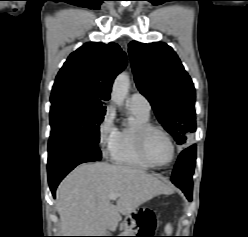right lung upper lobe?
I'll list each match as a JSON object with an SVG mask.
<instances>
[{"mask_svg": "<svg viewBox=\"0 0 248 237\" xmlns=\"http://www.w3.org/2000/svg\"><path fill=\"white\" fill-rule=\"evenodd\" d=\"M126 65V54L117 44L86 43L64 63L50 100H72L105 109L103 100L110 99L113 80Z\"/></svg>", "mask_w": 248, "mask_h": 237, "instance_id": "1", "label": "right lung upper lobe"}]
</instances>
